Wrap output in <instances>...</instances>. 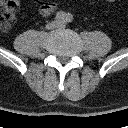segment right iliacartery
I'll return each mask as SVG.
<instances>
[{
    "label": "right iliac artery",
    "instance_id": "82829eb1",
    "mask_svg": "<svg viewBox=\"0 0 128 128\" xmlns=\"http://www.w3.org/2000/svg\"><path fill=\"white\" fill-rule=\"evenodd\" d=\"M66 14L63 11H59L56 13L57 20H65Z\"/></svg>",
    "mask_w": 128,
    "mask_h": 128
}]
</instances>
